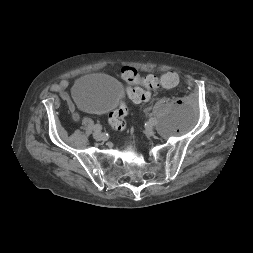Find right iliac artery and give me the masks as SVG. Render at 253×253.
<instances>
[{
    "label": "right iliac artery",
    "instance_id": "obj_1",
    "mask_svg": "<svg viewBox=\"0 0 253 253\" xmlns=\"http://www.w3.org/2000/svg\"><path fill=\"white\" fill-rule=\"evenodd\" d=\"M102 129V126L101 125H99V124H96V125H94V127H93V130L94 131H96V130H101Z\"/></svg>",
    "mask_w": 253,
    "mask_h": 253
}]
</instances>
